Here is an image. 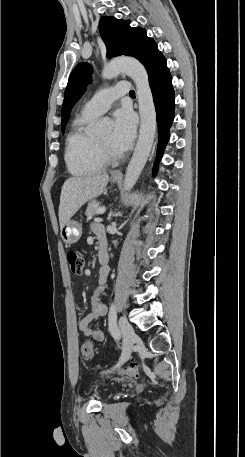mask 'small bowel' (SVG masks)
<instances>
[{
    "label": "small bowel",
    "mask_w": 245,
    "mask_h": 457,
    "mask_svg": "<svg viewBox=\"0 0 245 457\" xmlns=\"http://www.w3.org/2000/svg\"><path fill=\"white\" fill-rule=\"evenodd\" d=\"M95 234L99 241V247H106V240L104 231L101 226L95 225L93 227ZM108 268L100 270L99 281L95 286L89 300L90 312L83 317L79 322V331L85 336H89L95 341H103L105 338L104 331L99 328H92L91 324L94 320L103 317L107 313V307L102 302L101 298L105 292V283L108 276Z\"/></svg>",
    "instance_id": "c3829d8e"
}]
</instances>
